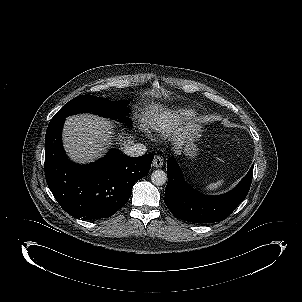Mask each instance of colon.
I'll return each mask as SVG.
<instances>
[{"instance_id": "obj_1", "label": "colon", "mask_w": 302, "mask_h": 302, "mask_svg": "<svg viewBox=\"0 0 302 302\" xmlns=\"http://www.w3.org/2000/svg\"><path fill=\"white\" fill-rule=\"evenodd\" d=\"M232 140H236V138H232Z\"/></svg>"}]
</instances>
